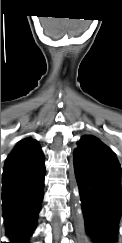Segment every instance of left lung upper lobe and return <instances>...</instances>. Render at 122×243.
<instances>
[{
	"mask_svg": "<svg viewBox=\"0 0 122 243\" xmlns=\"http://www.w3.org/2000/svg\"><path fill=\"white\" fill-rule=\"evenodd\" d=\"M105 147L107 146L104 145L98 138L91 135L83 136L77 143V148L75 149L74 166L78 162L80 156L96 152L100 150V148Z\"/></svg>",
	"mask_w": 122,
	"mask_h": 243,
	"instance_id": "obj_1",
	"label": "left lung upper lobe"
}]
</instances>
